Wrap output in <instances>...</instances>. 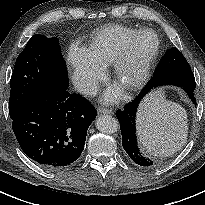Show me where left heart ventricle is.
I'll use <instances>...</instances> for the list:
<instances>
[{
  "label": "left heart ventricle",
  "instance_id": "1",
  "mask_svg": "<svg viewBox=\"0 0 205 205\" xmlns=\"http://www.w3.org/2000/svg\"><path fill=\"white\" fill-rule=\"evenodd\" d=\"M155 46V39L151 35H145L136 44V49L140 57L148 54ZM138 60L133 61L128 65L125 71L124 82L133 80L138 74Z\"/></svg>",
  "mask_w": 205,
  "mask_h": 205
}]
</instances>
